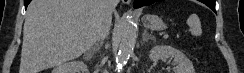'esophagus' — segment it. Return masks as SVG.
Masks as SVG:
<instances>
[{
	"mask_svg": "<svg viewBox=\"0 0 244 73\" xmlns=\"http://www.w3.org/2000/svg\"><path fill=\"white\" fill-rule=\"evenodd\" d=\"M124 4H130L131 0H122Z\"/></svg>",
	"mask_w": 244,
	"mask_h": 73,
	"instance_id": "esophagus-1",
	"label": "esophagus"
}]
</instances>
